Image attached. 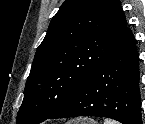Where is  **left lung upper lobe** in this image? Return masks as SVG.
I'll return each mask as SVG.
<instances>
[{
    "label": "left lung upper lobe",
    "mask_w": 145,
    "mask_h": 124,
    "mask_svg": "<svg viewBox=\"0 0 145 124\" xmlns=\"http://www.w3.org/2000/svg\"><path fill=\"white\" fill-rule=\"evenodd\" d=\"M127 30L119 0H66L36 51L17 124H39L61 108Z\"/></svg>",
    "instance_id": "5c2ea615"
}]
</instances>
